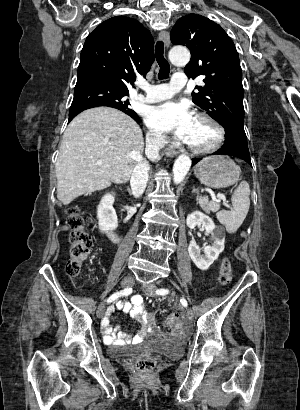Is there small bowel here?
I'll use <instances>...</instances> for the list:
<instances>
[{"instance_id": "c3829d8e", "label": "small bowel", "mask_w": 300, "mask_h": 410, "mask_svg": "<svg viewBox=\"0 0 300 410\" xmlns=\"http://www.w3.org/2000/svg\"><path fill=\"white\" fill-rule=\"evenodd\" d=\"M115 310H120L131 317L135 318L140 324L141 329L133 337L123 333L119 328L113 329L109 323V317ZM154 331V318L151 313L146 311L143 298L135 295L130 302H118L107 309L106 315L102 321V332L104 339L108 343L122 344L128 340L139 342L148 334Z\"/></svg>"}]
</instances>
